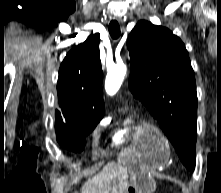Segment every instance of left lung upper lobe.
Wrapping results in <instances>:
<instances>
[{"mask_svg":"<svg viewBox=\"0 0 221 193\" xmlns=\"http://www.w3.org/2000/svg\"><path fill=\"white\" fill-rule=\"evenodd\" d=\"M127 47L131 92L157 119L182 163L193 171L198 101L185 45L169 29L139 21Z\"/></svg>","mask_w":221,"mask_h":193,"instance_id":"left-lung-upper-lobe-1","label":"left lung upper lobe"}]
</instances>
